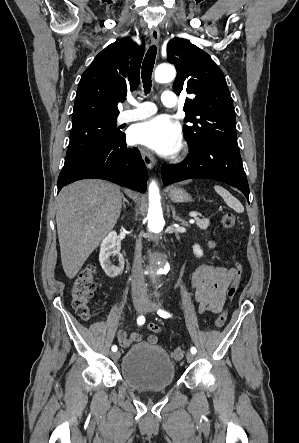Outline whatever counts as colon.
Returning a JSON list of instances; mask_svg holds the SVG:
<instances>
[{
    "instance_id": "5ec220e1",
    "label": "colon",
    "mask_w": 299,
    "mask_h": 443,
    "mask_svg": "<svg viewBox=\"0 0 299 443\" xmlns=\"http://www.w3.org/2000/svg\"><path fill=\"white\" fill-rule=\"evenodd\" d=\"M222 224L226 229L234 230L237 225L236 216L232 213H226L222 218ZM95 273L96 266L94 263H89L82 269L75 278L72 289V307L77 315L83 320H90L92 313L89 307V301L95 290ZM242 275V266L236 259L233 269V278L227 290V297L231 300L239 287ZM227 320V312H222L215 321V327L221 328ZM185 349L182 347L175 348L171 355L174 360H181L184 357Z\"/></svg>"
}]
</instances>
